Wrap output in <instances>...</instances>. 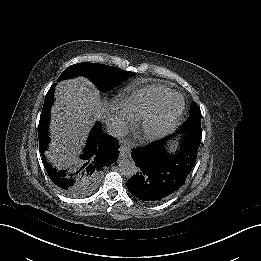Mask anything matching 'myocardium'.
<instances>
[{
    "instance_id": "1",
    "label": "myocardium",
    "mask_w": 261,
    "mask_h": 261,
    "mask_svg": "<svg viewBox=\"0 0 261 261\" xmlns=\"http://www.w3.org/2000/svg\"><path fill=\"white\" fill-rule=\"evenodd\" d=\"M179 98L181 100V106L180 109L178 111V113L176 114L175 117H173L169 122H167L166 124H164L163 126L157 127V128H153V124L155 123V119H156V115L159 114L161 112V110L163 109V107L165 106V104L172 98ZM185 108V100L184 97L179 94L174 92L173 94H171L170 97H168L163 104L161 105V107L152 112L149 113L147 116H145L144 118L140 119L137 124L135 125V133L138 136V138L141 141H155V140H159L161 138H163L164 136H166L167 134H169L178 124L183 111Z\"/></svg>"
}]
</instances>
